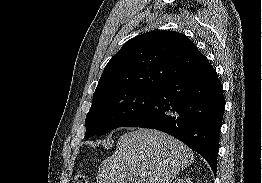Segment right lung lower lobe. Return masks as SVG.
<instances>
[{
  "label": "right lung lower lobe",
  "instance_id": "1",
  "mask_svg": "<svg viewBox=\"0 0 262 183\" xmlns=\"http://www.w3.org/2000/svg\"><path fill=\"white\" fill-rule=\"evenodd\" d=\"M224 108L221 82L208 62L164 83L150 104L124 127L152 128L176 137L200 154L216 175Z\"/></svg>",
  "mask_w": 262,
  "mask_h": 183
}]
</instances>
